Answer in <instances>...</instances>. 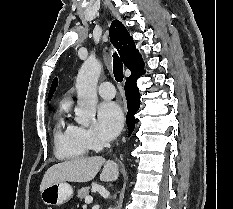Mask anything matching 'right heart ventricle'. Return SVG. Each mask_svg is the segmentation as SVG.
<instances>
[{"label":"right heart ventricle","mask_w":233,"mask_h":209,"mask_svg":"<svg viewBox=\"0 0 233 209\" xmlns=\"http://www.w3.org/2000/svg\"><path fill=\"white\" fill-rule=\"evenodd\" d=\"M71 102L63 99L55 112L54 143L55 154L61 160H75L87 155L88 150L77 139L75 126L66 119Z\"/></svg>","instance_id":"1"}]
</instances>
